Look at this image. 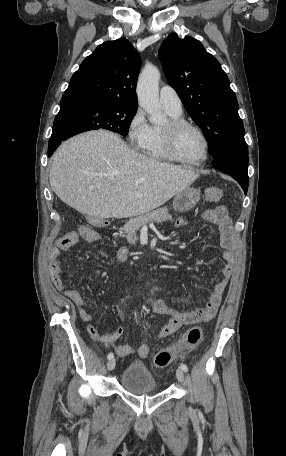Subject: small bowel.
Here are the masks:
<instances>
[{"label":"small bowel","instance_id":"c3829d8e","mask_svg":"<svg viewBox=\"0 0 286 456\" xmlns=\"http://www.w3.org/2000/svg\"><path fill=\"white\" fill-rule=\"evenodd\" d=\"M202 218L207 221L215 222L220 226L221 246L224 249L223 258L226 262L225 266L222 268L223 278L214 285L208 301L196 310L185 311L177 307L170 306L163 300L154 301V312L158 315L167 316L169 318L166 325L159 332V338H165L172 335L182 325L204 323L211 320L218 310L223 293L227 287L229 279L233 275L235 265V237L233 234L232 222L228 216L226 208L224 206H216L208 209L203 212ZM187 222L188 219L184 217L178 220V225L184 226ZM80 237L88 242H98L100 240V235L92 229H90V234L79 235L76 232H70L62 236L58 241L57 247L50 251V277L54 286L58 290L62 291L65 297L77 307L81 319L84 322H90L92 320V314L87 309L81 293L77 290L66 288L60 275L61 269L59 259L61 257V253L72 247ZM100 255L103 257H109L110 253L107 251H100ZM129 257L130 251L127 247L121 246L115 251V258L121 262L128 261ZM87 330L92 339L105 344L116 342L123 334L122 327H115L101 332L93 325H89ZM148 348L150 350L149 346ZM115 351L118 356L127 357L132 354L133 349L130 345L121 344L115 347Z\"/></svg>","mask_w":286,"mask_h":456}]
</instances>
